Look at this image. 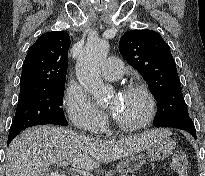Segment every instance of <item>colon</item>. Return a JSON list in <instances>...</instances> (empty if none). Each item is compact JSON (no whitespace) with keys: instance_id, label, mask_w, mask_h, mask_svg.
Listing matches in <instances>:
<instances>
[{"instance_id":"1","label":"colon","mask_w":205,"mask_h":176,"mask_svg":"<svg viewBox=\"0 0 205 176\" xmlns=\"http://www.w3.org/2000/svg\"><path fill=\"white\" fill-rule=\"evenodd\" d=\"M170 164L172 169L177 172L179 176H187L189 161L184 152L177 151L173 153Z\"/></svg>"}]
</instances>
